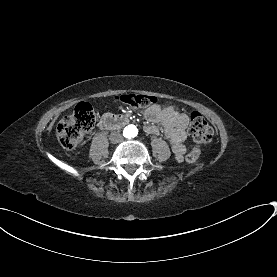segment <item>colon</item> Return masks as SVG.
Returning a JSON list of instances; mask_svg holds the SVG:
<instances>
[{
	"instance_id": "obj_1",
	"label": "colon",
	"mask_w": 277,
	"mask_h": 277,
	"mask_svg": "<svg viewBox=\"0 0 277 277\" xmlns=\"http://www.w3.org/2000/svg\"><path fill=\"white\" fill-rule=\"evenodd\" d=\"M114 102L128 105L133 109L148 107L155 100L148 95L122 94L114 97ZM91 99H78L76 109L62 118L56 129V138L63 149L71 151L79 146L83 136L88 133L94 124L95 112L91 109ZM188 134L200 143H209L213 139V129L198 113L190 117ZM201 150L194 147L186 156L188 163L198 162Z\"/></svg>"
}]
</instances>
